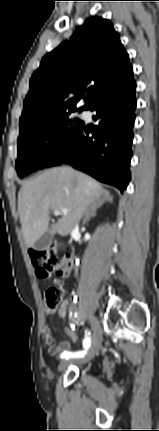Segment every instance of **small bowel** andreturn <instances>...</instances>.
<instances>
[{
	"label": "small bowel",
	"mask_w": 159,
	"mask_h": 431,
	"mask_svg": "<svg viewBox=\"0 0 159 431\" xmlns=\"http://www.w3.org/2000/svg\"><path fill=\"white\" fill-rule=\"evenodd\" d=\"M72 268H73V264H72L71 260L66 257L58 266L57 275L59 277H61L62 279H66L69 276ZM67 307H68V301L66 300L61 304V306L58 310V314H59V317L61 319L65 318L66 312H67ZM66 329H70V328L65 327L64 332ZM42 335H43L44 342L48 347V353L50 355L56 356V355L62 354L64 352H70L69 351L70 343L66 340H61L57 344H53V335H52V332H51V329L49 326L45 325L43 327Z\"/></svg>",
	"instance_id": "1"
}]
</instances>
